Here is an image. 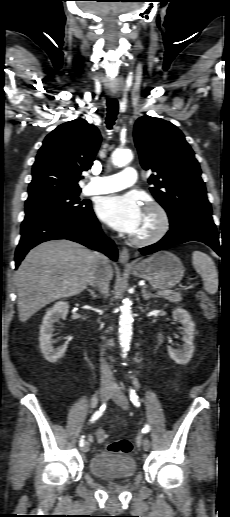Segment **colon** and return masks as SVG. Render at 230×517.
<instances>
[{
  "label": "colon",
  "instance_id": "obj_1",
  "mask_svg": "<svg viewBox=\"0 0 230 517\" xmlns=\"http://www.w3.org/2000/svg\"><path fill=\"white\" fill-rule=\"evenodd\" d=\"M197 297L200 302V306L202 308L204 316L208 320H214L217 316V308L215 302L202 291L198 292ZM96 437L101 444H104L105 447L113 453L128 454L132 450V443L128 439L107 442V435L104 432V430H99L96 434Z\"/></svg>",
  "mask_w": 230,
  "mask_h": 517
}]
</instances>
